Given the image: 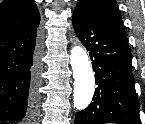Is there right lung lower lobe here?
Masks as SVG:
<instances>
[{
  "label": "right lung lower lobe",
  "instance_id": "1",
  "mask_svg": "<svg viewBox=\"0 0 145 124\" xmlns=\"http://www.w3.org/2000/svg\"><path fill=\"white\" fill-rule=\"evenodd\" d=\"M40 34L0 36V124L31 120L38 104Z\"/></svg>",
  "mask_w": 145,
  "mask_h": 124
}]
</instances>
